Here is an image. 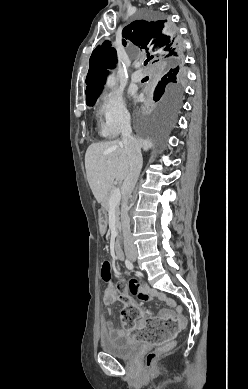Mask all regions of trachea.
Here are the masks:
<instances>
[{
    "instance_id": "3493384b",
    "label": "trachea",
    "mask_w": 248,
    "mask_h": 389,
    "mask_svg": "<svg viewBox=\"0 0 248 389\" xmlns=\"http://www.w3.org/2000/svg\"><path fill=\"white\" fill-rule=\"evenodd\" d=\"M147 63H148V61H145V62H144V65H147Z\"/></svg>"
}]
</instances>
